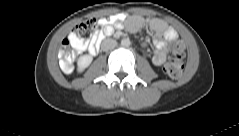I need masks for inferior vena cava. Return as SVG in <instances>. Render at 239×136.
<instances>
[{
	"label": "inferior vena cava",
	"mask_w": 239,
	"mask_h": 136,
	"mask_svg": "<svg viewBox=\"0 0 239 136\" xmlns=\"http://www.w3.org/2000/svg\"><path fill=\"white\" fill-rule=\"evenodd\" d=\"M117 46V41L111 38L104 39L101 43V49L103 51H109Z\"/></svg>",
	"instance_id": "602c4592"
}]
</instances>
